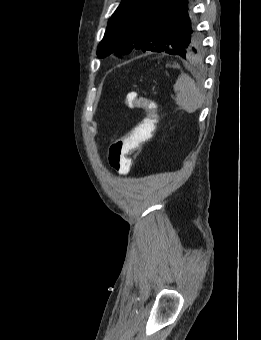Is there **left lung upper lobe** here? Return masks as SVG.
<instances>
[{
	"instance_id": "obj_1",
	"label": "left lung upper lobe",
	"mask_w": 261,
	"mask_h": 340,
	"mask_svg": "<svg viewBox=\"0 0 261 340\" xmlns=\"http://www.w3.org/2000/svg\"><path fill=\"white\" fill-rule=\"evenodd\" d=\"M165 0H122L108 21L105 35L98 45L101 58L133 49L163 51L184 59L203 55L202 36L196 28L192 8L178 20L161 11Z\"/></svg>"
}]
</instances>
